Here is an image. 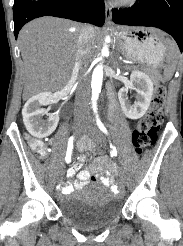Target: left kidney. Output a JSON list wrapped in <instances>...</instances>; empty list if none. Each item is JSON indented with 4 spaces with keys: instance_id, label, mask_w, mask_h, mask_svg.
Here are the masks:
<instances>
[{
    "instance_id": "1",
    "label": "left kidney",
    "mask_w": 183,
    "mask_h": 246,
    "mask_svg": "<svg viewBox=\"0 0 183 246\" xmlns=\"http://www.w3.org/2000/svg\"><path fill=\"white\" fill-rule=\"evenodd\" d=\"M128 89L136 90V101L132 104L128 98ZM153 95V82L149 75L133 70L130 76V84L122 87L118 92L121 108L129 119H139L148 110Z\"/></svg>"
}]
</instances>
